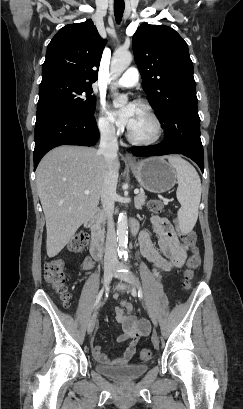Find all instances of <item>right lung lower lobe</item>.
I'll return each instance as SVG.
<instances>
[{
	"label": "right lung lower lobe",
	"mask_w": 243,
	"mask_h": 409,
	"mask_svg": "<svg viewBox=\"0 0 243 409\" xmlns=\"http://www.w3.org/2000/svg\"><path fill=\"white\" fill-rule=\"evenodd\" d=\"M99 131L94 115L83 116L63 111L37 115L35 124L34 170L41 158L60 145H95Z\"/></svg>",
	"instance_id": "98d812e1"
}]
</instances>
